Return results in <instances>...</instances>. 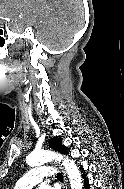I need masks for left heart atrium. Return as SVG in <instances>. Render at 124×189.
Segmentation results:
<instances>
[{
	"label": "left heart atrium",
	"mask_w": 124,
	"mask_h": 189,
	"mask_svg": "<svg viewBox=\"0 0 124 189\" xmlns=\"http://www.w3.org/2000/svg\"><path fill=\"white\" fill-rule=\"evenodd\" d=\"M41 189H54V188L49 187V186H44V187H42Z\"/></svg>",
	"instance_id": "39dd6f15"
}]
</instances>
